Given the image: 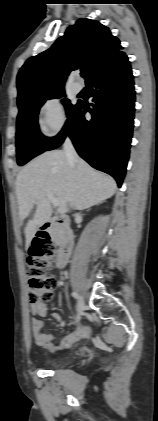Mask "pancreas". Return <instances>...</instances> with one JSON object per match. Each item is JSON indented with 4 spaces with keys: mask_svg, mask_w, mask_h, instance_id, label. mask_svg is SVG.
Instances as JSON below:
<instances>
[{
    "mask_svg": "<svg viewBox=\"0 0 158 421\" xmlns=\"http://www.w3.org/2000/svg\"><path fill=\"white\" fill-rule=\"evenodd\" d=\"M50 234H51V236H52L53 241H54L55 243H57V242H58V240H59V237H60V235H61L60 230H59L58 228H52V229L50 230Z\"/></svg>",
    "mask_w": 158,
    "mask_h": 421,
    "instance_id": "1",
    "label": "pancreas"
}]
</instances>
